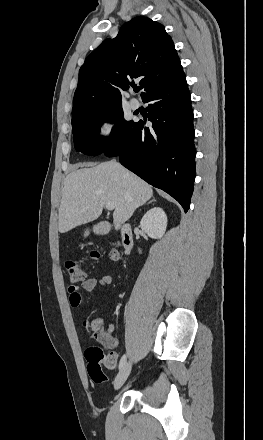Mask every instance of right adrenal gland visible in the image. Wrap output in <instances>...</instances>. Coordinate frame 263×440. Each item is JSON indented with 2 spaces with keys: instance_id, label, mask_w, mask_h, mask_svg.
I'll return each mask as SVG.
<instances>
[{
  "instance_id": "1",
  "label": "right adrenal gland",
  "mask_w": 263,
  "mask_h": 440,
  "mask_svg": "<svg viewBox=\"0 0 263 440\" xmlns=\"http://www.w3.org/2000/svg\"><path fill=\"white\" fill-rule=\"evenodd\" d=\"M154 201H155V199H152L151 201L148 202V204L151 203V202H154Z\"/></svg>"
}]
</instances>
